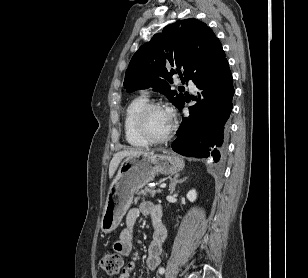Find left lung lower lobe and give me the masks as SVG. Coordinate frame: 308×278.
Listing matches in <instances>:
<instances>
[{
  "label": "left lung lower lobe",
  "mask_w": 308,
  "mask_h": 278,
  "mask_svg": "<svg viewBox=\"0 0 308 278\" xmlns=\"http://www.w3.org/2000/svg\"><path fill=\"white\" fill-rule=\"evenodd\" d=\"M194 83L200 91L192 99L198 103L189 108V117L183 118L172 149L183 156L218 162L226 145L233 107L234 88L227 59ZM184 104L185 101L179 108Z\"/></svg>",
  "instance_id": "0a47b994"
}]
</instances>
